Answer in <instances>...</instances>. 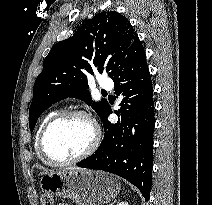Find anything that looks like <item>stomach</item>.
I'll return each mask as SVG.
<instances>
[{
  "label": "stomach",
  "instance_id": "obj_1",
  "mask_svg": "<svg viewBox=\"0 0 212 205\" xmlns=\"http://www.w3.org/2000/svg\"><path fill=\"white\" fill-rule=\"evenodd\" d=\"M40 187L45 193L68 198L77 205H103L113 201L120 191L115 176L76 168L44 174L40 179Z\"/></svg>",
  "mask_w": 212,
  "mask_h": 205
}]
</instances>
